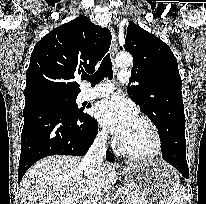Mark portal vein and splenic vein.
I'll list each match as a JSON object with an SVG mask.
<instances>
[{
	"instance_id": "obj_1",
	"label": "portal vein and splenic vein",
	"mask_w": 206,
	"mask_h": 204,
	"mask_svg": "<svg viewBox=\"0 0 206 204\" xmlns=\"http://www.w3.org/2000/svg\"><path fill=\"white\" fill-rule=\"evenodd\" d=\"M130 193V190L129 189H126L125 190V195H128Z\"/></svg>"
}]
</instances>
